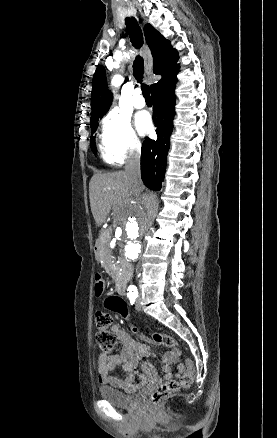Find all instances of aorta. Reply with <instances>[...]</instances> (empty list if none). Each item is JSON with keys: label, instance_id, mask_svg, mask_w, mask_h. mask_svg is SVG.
Segmentation results:
<instances>
[{"label": "aorta", "instance_id": "aorta-1", "mask_svg": "<svg viewBox=\"0 0 277 438\" xmlns=\"http://www.w3.org/2000/svg\"><path fill=\"white\" fill-rule=\"evenodd\" d=\"M148 228V216L141 206L133 205L118 211L115 220V240L124 258L130 261L138 259L148 234ZM128 291L134 293L136 288L130 285Z\"/></svg>", "mask_w": 277, "mask_h": 438}]
</instances>
